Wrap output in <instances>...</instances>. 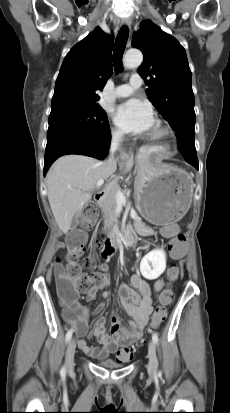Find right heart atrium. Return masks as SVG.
Segmentation results:
<instances>
[{
    "label": "right heart atrium",
    "mask_w": 230,
    "mask_h": 413,
    "mask_svg": "<svg viewBox=\"0 0 230 413\" xmlns=\"http://www.w3.org/2000/svg\"><path fill=\"white\" fill-rule=\"evenodd\" d=\"M110 134L114 142H121L123 139V133L117 128L112 127Z\"/></svg>",
    "instance_id": "1"
}]
</instances>
